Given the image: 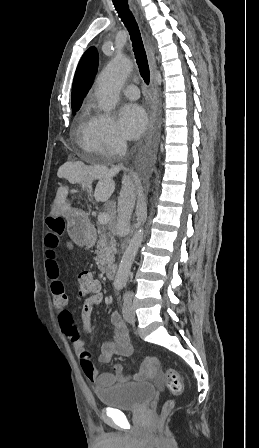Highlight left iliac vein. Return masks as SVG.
Instances as JSON below:
<instances>
[{
    "label": "left iliac vein",
    "mask_w": 259,
    "mask_h": 448,
    "mask_svg": "<svg viewBox=\"0 0 259 448\" xmlns=\"http://www.w3.org/2000/svg\"><path fill=\"white\" fill-rule=\"evenodd\" d=\"M122 314L127 322L131 323L135 321V312L131 301H125L123 303Z\"/></svg>",
    "instance_id": "1"
}]
</instances>
